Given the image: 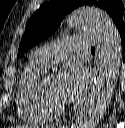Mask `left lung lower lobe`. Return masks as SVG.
<instances>
[{"label": "left lung lower lobe", "instance_id": "1", "mask_svg": "<svg viewBox=\"0 0 125 128\" xmlns=\"http://www.w3.org/2000/svg\"><path fill=\"white\" fill-rule=\"evenodd\" d=\"M117 28H118V31L120 33V36H121L123 45L125 47V25H124V22L118 24L117 25ZM124 61H125V59H124Z\"/></svg>", "mask_w": 125, "mask_h": 128}]
</instances>
